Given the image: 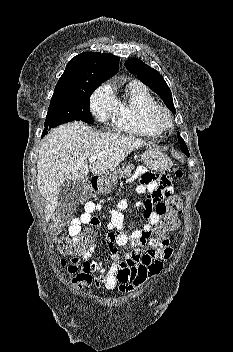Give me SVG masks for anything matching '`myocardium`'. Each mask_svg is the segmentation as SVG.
<instances>
[{"mask_svg":"<svg viewBox=\"0 0 233 352\" xmlns=\"http://www.w3.org/2000/svg\"><path fill=\"white\" fill-rule=\"evenodd\" d=\"M147 122L151 128L159 133L168 130L172 126L170 113L159 105L148 112Z\"/></svg>","mask_w":233,"mask_h":352,"instance_id":"myocardium-1","label":"myocardium"}]
</instances>
